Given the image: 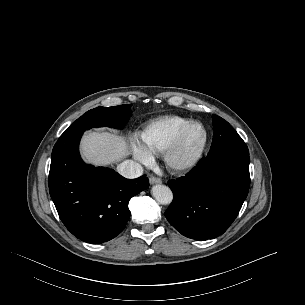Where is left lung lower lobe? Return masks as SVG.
<instances>
[{
	"mask_svg": "<svg viewBox=\"0 0 305 305\" xmlns=\"http://www.w3.org/2000/svg\"><path fill=\"white\" fill-rule=\"evenodd\" d=\"M168 185L174 196L165 212L170 224L188 238H216L235 220L248 194L249 152L202 158L186 176Z\"/></svg>",
	"mask_w": 305,
	"mask_h": 305,
	"instance_id": "0a47b994",
	"label": "left lung lower lobe"
}]
</instances>
